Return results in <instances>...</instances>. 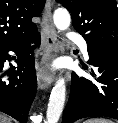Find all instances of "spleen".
<instances>
[{
    "label": "spleen",
    "mask_w": 118,
    "mask_h": 123,
    "mask_svg": "<svg viewBox=\"0 0 118 123\" xmlns=\"http://www.w3.org/2000/svg\"><path fill=\"white\" fill-rule=\"evenodd\" d=\"M84 123H113V122L105 118H91L86 120Z\"/></svg>",
    "instance_id": "obj_1"
}]
</instances>
